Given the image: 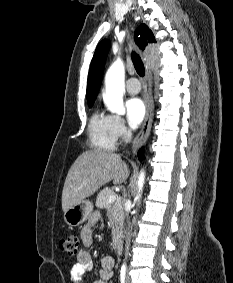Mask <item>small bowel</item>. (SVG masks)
<instances>
[{
	"instance_id": "small-bowel-1",
	"label": "small bowel",
	"mask_w": 233,
	"mask_h": 283,
	"mask_svg": "<svg viewBox=\"0 0 233 283\" xmlns=\"http://www.w3.org/2000/svg\"><path fill=\"white\" fill-rule=\"evenodd\" d=\"M99 215L94 213L88 223L81 230V239L83 249L76 256V263L72 266L70 277L73 283H82L84 274L92 268L91 255L87 248L93 243L92 227L98 221ZM114 259L111 256H105L101 260L100 278L94 283H109L113 275Z\"/></svg>"
}]
</instances>
